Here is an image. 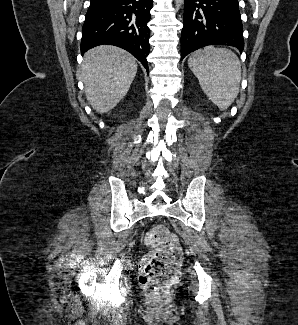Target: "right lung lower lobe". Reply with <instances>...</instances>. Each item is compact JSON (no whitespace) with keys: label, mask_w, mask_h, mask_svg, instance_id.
I'll list each match as a JSON object with an SVG mask.
<instances>
[{"label":"right lung lower lobe","mask_w":298,"mask_h":325,"mask_svg":"<svg viewBox=\"0 0 298 325\" xmlns=\"http://www.w3.org/2000/svg\"><path fill=\"white\" fill-rule=\"evenodd\" d=\"M83 25L82 55L90 48L109 44L121 47L134 55L149 73L146 57L149 54L152 0H90Z\"/></svg>","instance_id":"right-lung-lower-lobe-1"}]
</instances>
